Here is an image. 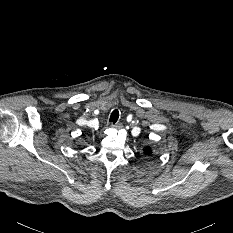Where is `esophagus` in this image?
Returning a JSON list of instances; mask_svg holds the SVG:
<instances>
[{
	"label": "esophagus",
	"instance_id": "obj_1",
	"mask_svg": "<svg viewBox=\"0 0 233 233\" xmlns=\"http://www.w3.org/2000/svg\"><path fill=\"white\" fill-rule=\"evenodd\" d=\"M111 126L115 129H121L123 127L122 123L111 124Z\"/></svg>",
	"mask_w": 233,
	"mask_h": 233
}]
</instances>
